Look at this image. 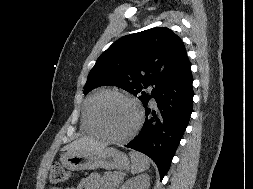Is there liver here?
Returning <instances> with one entry per match:
<instances>
[{
	"instance_id": "1",
	"label": "liver",
	"mask_w": 253,
	"mask_h": 189,
	"mask_svg": "<svg viewBox=\"0 0 253 189\" xmlns=\"http://www.w3.org/2000/svg\"><path fill=\"white\" fill-rule=\"evenodd\" d=\"M106 148L105 144H102L90 137L79 138L72 143L66 145L63 151L69 153L75 152H100Z\"/></svg>"
}]
</instances>
